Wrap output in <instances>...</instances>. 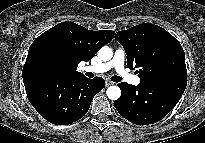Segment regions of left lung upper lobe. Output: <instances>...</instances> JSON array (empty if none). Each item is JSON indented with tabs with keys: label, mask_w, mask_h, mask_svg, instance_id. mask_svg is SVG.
<instances>
[{
	"label": "left lung upper lobe",
	"mask_w": 205,
	"mask_h": 143,
	"mask_svg": "<svg viewBox=\"0 0 205 143\" xmlns=\"http://www.w3.org/2000/svg\"><path fill=\"white\" fill-rule=\"evenodd\" d=\"M115 39L127 54V66L138 68L140 81L187 77L185 53L170 33L160 26L144 23L117 32Z\"/></svg>",
	"instance_id": "5c2ea615"
}]
</instances>
